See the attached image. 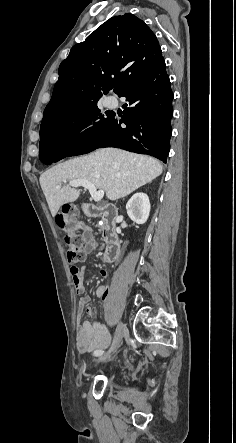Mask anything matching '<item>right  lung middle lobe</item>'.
<instances>
[{"label": "right lung middle lobe", "instance_id": "right-lung-middle-lobe-1", "mask_svg": "<svg viewBox=\"0 0 236 443\" xmlns=\"http://www.w3.org/2000/svg\"><path fill=\"white\" fill-rule=\"evenodd\" d=\"M97 101L98 99L77 109L42 120L40 148L53 145H71L106 121L112 112L101 113L97 107ZM105 114L107 118L104 117ZM97 119L101 120L95 122ZM91 122H95V126L79 134Z\"/></svg>", "mask_w": 236, "mask_h": 443}]
</instances>
